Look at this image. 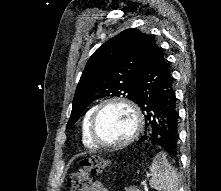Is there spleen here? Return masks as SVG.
Returning <instances> with one entry per match:
<instances>
[{
	"mask_svg": "<svg viewBox=\"0 0 221 191\" xmlns=\"http://www.w3.org/2000/svg\"><path fill=\"white\" fill-rule=\"evenodd\" d=\"M151 188L157 191H178L179 180L176 171L168 162L165 153H158L150 166Z\"/></svg>",
	"mask_w": 221,
	"mask_h": 191,
	"instance_id": "3e777b00",
	"label": "spleen"
}]
</instances>
